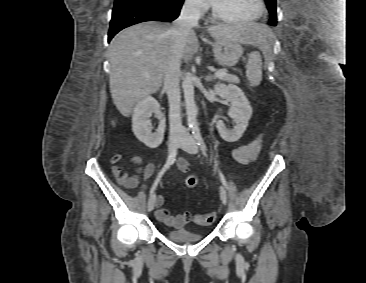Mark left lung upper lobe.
Returning <instances> with one entry per match:
<instances>
[{"mask_svg": "<svg viewBox=\"0 0 366 283\" xmlns=\"http://www.w3.org/2000/svg\"><path fill=\"white\" fill-rule=\"evenodd\" d=\"M265 3L270 13L269 24L272 26H276L277 24L276 0H265Z\"/></svg>", "mask_w": 366, "mask_h": 283, "instance_id": "1", "label": "left lung upper lobe"}]
</instances>
